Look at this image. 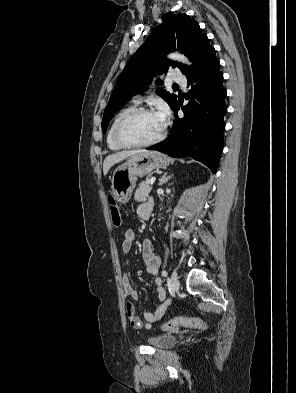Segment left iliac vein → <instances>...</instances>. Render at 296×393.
<instances>
[{
	"mask_svg": "<svg viewBox=\"0 0 296 393\" xmlns=\"http://www.w3.org/2000/svg\"><path fill=\"white\" fill-rule=\"evenodd\" d=\"M169 282L174 291H177L179 289L180 283H179L178 275L175 271L172 272Z\"/></svg>",
	"mask_w": 296,
	"mask_h": 393,
	"instance_id": "obj_1",
	"label": "left iliac vein"
}]
</instances>
